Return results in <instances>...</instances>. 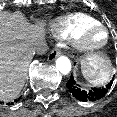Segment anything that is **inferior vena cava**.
Here are the masks:
<instances>
[{"mask_svg": "<svg viewBox=\"0 0 117 117\" xmlns=\"http://www.w3.org/2000/svg\"><path fill=\"white\" fill-rule=\"evenodd\" d=\"M47 52V44L45 41L37 43L33 49V54L43 55Z\"/></svg>", "mask_w": 117, "mask_h": 117, "instance_id": "1", "label": "inferior vena cava"}]
</instances>
